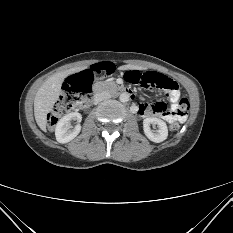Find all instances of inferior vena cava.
Returning a JSON list of instances; mask_svg holds the SVG:
<instances>
[{
	"instance_id": "inferior-vena-cava-1",
	"label": "inferior vena cava",
	"mask_w": 233,
	"mask_h": 233,
	"mask_svg": "<svg viewBox=\"0 0 233 233\" xmlns=\"http://www.w3.org/2000/svg\"><path fill=\"white\" fill-rule=\"evenodd\" d=\"M111 96L108 92H101L94 95V104H98L99 102L109 99Z\"/></svg>"
}]
</instances>
